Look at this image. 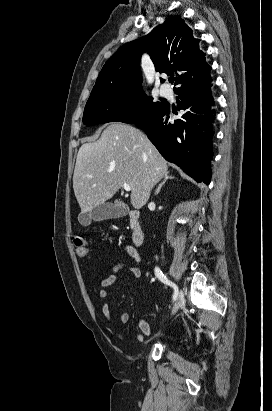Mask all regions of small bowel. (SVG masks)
Here are the masks:
<instances>
[{"instance_id":"small-bowel-1","label":"small bowel","mask_w":272,"mask_h":411,"mask_svg":"<svg viewBox=\"0 0 272 411\" xmlns=\"http://www.w3.org/2000/svg\"><path fill=\"white\" fill-rule=\"evenodd\" d=\"M125 249L127 253L129 254V256L132 258L133 263L131 265H126L123 263L116 265L113 268L112 273L108 277L102 280L101 289L99 290V298L103 301L102 313L108 322L113 321V316L110 311V306L107 302V297H108L107 288L120 280L118 276L119 272L126 271L131 275L133 279H138L141 275V271L138 268V263L140 261L139 253L131 245H127ZM117 320L121 323H126L129 320V314L127 312H121L118 314ZM138 326H139L141 333L136 334L134 339L137 342H143L145 336L152 335L151 326L149 322L143 317H140L138 319ZM185 330L187 331L186 326H185ZM111 331L115 334V336L118 339L120 340L126 339V336L118 332L114 327H111Z\"/></svg>"}]
</instances>
